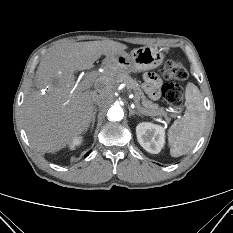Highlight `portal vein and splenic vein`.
Returning <instances> with one entry per match:
<instances>
[{
  "mask_svg": "<svg viewBox=\"0 0 233 233\" xmlns=\"http://www.w3.org/2000/svg\"><path fill=\"white\" fill-rule=\"evenodd\" d=\"M92 84H93L92 77H87L79 85H76V87H78L79 90L84 91V90L89 89L92 86ZM139 109L145 113L143 108H139ZM157 115H164V113L154 114V116H157Z\"/></svg>",
  "mask_w": 233,
  "mask_h": 233,
  "instance_id": "portal-vein-and-splenic-vein-1",
  "label": "portal vein and splenic vein"
}]
</instances>
